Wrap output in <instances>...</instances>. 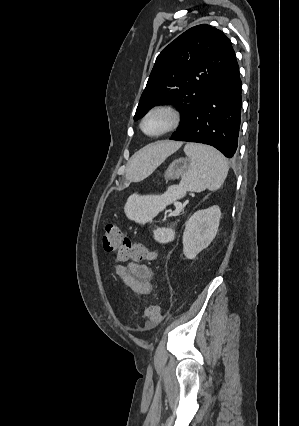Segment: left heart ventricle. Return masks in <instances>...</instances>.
<instances>
[{
	"label": "left heart ventricle",
	"instance_id": "1",
	"mask_svg": "<svg viewBox=\"0 0 299 426\" xmlns=\"http://www.w3.org/2000/svg\"><path fill=\"white\" fill-rule=\"evenodd\" d=\"M170 123V118L165 113H156L150 116L145 124L144 129L149 134H156L164 130Z\"/></svg>",
	"mask_w": 299,
	"mask_h": 426
}]
</instances>
